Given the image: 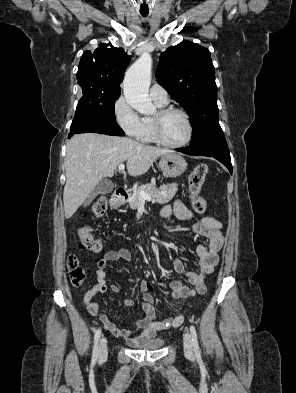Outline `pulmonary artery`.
<instances>
[{"label":"pulmonary artery","mask_w":296,"mask_h":393,"mask_svg":"<svg viewBox=\"0 0 296 393\" xmlns=\"http://www.w3.org/2000/svg\"><path fill=\"white\" fill-rule=\"evenodd\" d=\"M150 97L155 103L159 105H166L169 101L167 91L157 83H154L150 87Z\"/></svg>","instance_id":"1"}]
</instances>
